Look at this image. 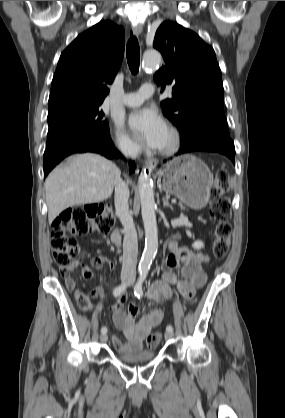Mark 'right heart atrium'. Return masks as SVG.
<instances>
[{
    "instance_id": "1",
    "label": "right heart atrium",
    "mask_w": 285,
    "mask_h": 418,
    "mask_svg": "<svg viewBox=\"0 0 285 418\" xmlns=\"http://www.w3.org/2000/svg\"><path fill=\"white\" fill-rule=\"evenodd\" d=\"M113 143L118 151L126 156L135 155L137 152V146L122 129L115 130L113 134Z\"/></svg>"
}]
</instances>
